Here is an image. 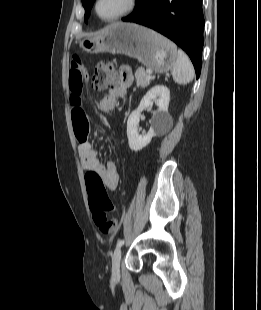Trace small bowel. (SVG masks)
Segmentation results:
<instances>
[{
  "label": "small bowel",
  "mask_w": 261,
  "mask_h": 310,
  "mask_svg": "<svg viewBox=\"0 0 261 310\" xmlns=\"http://www.w3.org/2000/svg\"><path fill=\"white\" fill-rule=\"evenodd\" d=\"M86 81V72L82 61L73 57L69 72V89L71 92L70 104L74 126V132L78 144V154L82 167L87 171L97 172L103 179L106 187L113 191L119 184V175L113 162L103 165L88 140L89 125L86 113L81 102V94ZM133 82V75L128 67H121L119 70V83L109 90L108 94L100 101V109L108 112L114 109L118 99L126 96Z\"/></svg>",
  "instance_id": "c3829d8e"
}]
</instances>
